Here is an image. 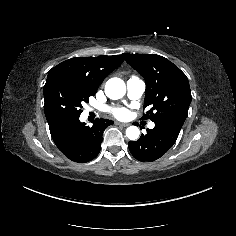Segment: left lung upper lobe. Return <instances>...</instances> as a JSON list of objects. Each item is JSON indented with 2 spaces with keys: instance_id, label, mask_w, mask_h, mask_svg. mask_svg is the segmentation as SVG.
<instances>
[{
  "instance_id": "obj_1",
  "label": "left lung upper lobe",
  "mask_w": 236,
  "mask_h": 236,
  "mask_svg": "<svg viewBox=\"0 0 236 236\" xmlns=\"http://www.w3.org/2000/svg\"><path fill=\"white\" fill-rule=\"evenodd\" d=\"M123 56L146 81L143 108L150 110L142 118L153 122L166 117L185 120L192 99L186 75L168 59L156 54L125 53Z\"/></svg>"
}]
</instances>
